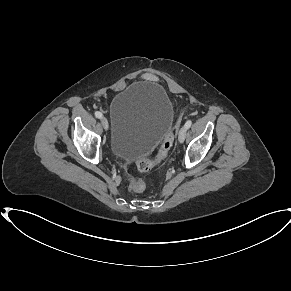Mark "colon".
Returning a JSON list of instances; mask_svg holds the SVG:
<instances>
[{
	"label": "colon",
	"mask_w": 291,
	"mask_h": 291,
	"mask_svg": "<svg viewBox=\"0 0 291 291\" xmlns=\"http://www.w3.org/2000/svg\"><path fill=\"white\" fill-rule=\"evenodd\" d=\"M174 142V133L171 131L165 135L161 145L157 151L156 156L153 159L140 158L137 161V168L141 172L150 171L154 166L161 163L168 155ZM145 188V184L142 180L132 179L129 184V189L135 193H141Z\"/></svg>",
	"instance_id": "obj_1"
}]
</instances>
